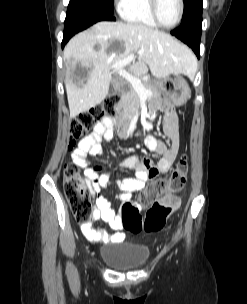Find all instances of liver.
I'll list each match as a JSON object with an SVG mask.
<instances>
[{"mask_svg":"<svg viewBox=\"0 0 247 304\" xmlns=\"http://www.w3.org/2000/svg\"><path fill=\"white\" fill-rule=\"evenodd\" d=\"M96 45L99 49H95ZM134 51L138 53V61L129 69L135 76L145 75L148 69L157 79L170 74L191 76L196 71L190 50L167 33L138 23H96L75 35L64 49L65 87L71 118L106 98L111 82L110 67ZM78 63L88 69L87 81L82 87L72 81Z\"/></svg>","mask_w":247,"mask_h":304,"instance_id":"obj_1","label":"liver"}]
</instances>
